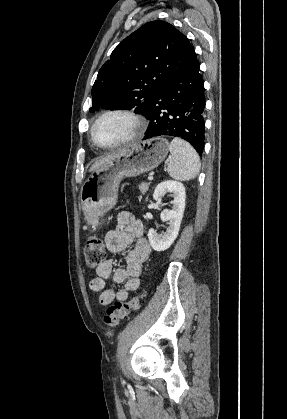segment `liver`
<instances>
[{
    "label": "liver",
    "mask_w": 287,
    "mask_h": 419,
    "mask_svg": "<svg viewBox=\"0 0 287 419\" xmlns=\"http://www.w3.org/2000/svg\"><path fill=\"white\" fill-rule=\"evenodd\" d=\"M118 152H120V151H118ZM118 152H116V153H111V154H108L107 156H104V157H101V158H99L98 160H96L94 163H93V165L91 166V168H90V171H94V170H96L97 168H99L101 165H103L105 162H107L108 160H110L111 158H113Z\"/></svg>",
    "instance_id": "6515ba94"
}]
</instances>
